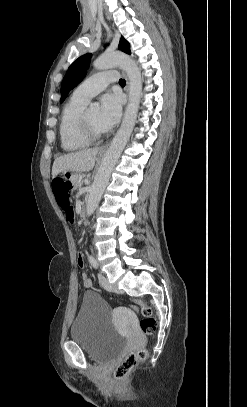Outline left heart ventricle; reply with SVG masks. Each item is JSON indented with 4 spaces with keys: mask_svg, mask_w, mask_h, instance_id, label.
Here are the masks:
<instances>
[{
    "mask_svg": "<svg viewBox=\"0 0 247 407\" xmlns=\"http://www.w3.org/2000/svg\"><path fill=\"white\" fill-rule=\"evenodd\" d=\"M86 117H87L89 123L91 124V126L96 131L106 130L99 122V110L98 109H87Z\"/></svg>",
    "mask_w": 247,
    "mask_h": 407,
    "instance_id": "obj_1",
    "label": "left heart ventricle"
}]
</instances>
